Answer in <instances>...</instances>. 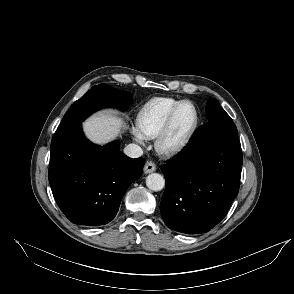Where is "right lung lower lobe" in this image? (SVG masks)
<instances>
[{
	"mask_svg": "<svg viewBox=\"0 0 294 294\" xmlns=\"http://www.w3.org/2000/svg\"><path fill=\"white\" fill-rule=\"evenodd\" d=\"M106 84L87 93L97 105H111L119 93ZM143 158L131 159L119 151L118 142L103 147L87 140L81 123L57 129L51 142L49 183L53 196L75 224H107L117 214L122 197L137 180Z\"/></svg>",
	"mask_w": 294,
	"mask_h": 294,
	"instance_id": "obj_1",
	"label": "right lung lower lobe"
}]
</instances>
